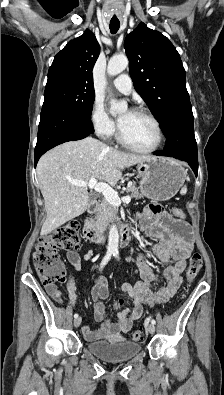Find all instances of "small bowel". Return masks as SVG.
I'll return each mask as SVG.
<instances>
[{
    "instance_id": "obj_1",
    "label": "small bowel",
    "mask_w": 224,
    "mask_h": 395,
    "mask_svg": "<svg viewBox=\"0 0 224 395\" xmlns=\"http://www.w3.org/2000/svg\"><path fill=\"white\" fill-rule=\"evenodd\" d=\"M138 219L145 234L157 240V243L151 247V252L165 266L162 276L154 273L144 256L140 255L137 259V266L142 281L135 286L128 283L121 286L131 298L132 306L118 313L115 322L107 320L102 303V300L108 297L107 280L103 276L96 278L91 296L94 301L95 319L101 324L95 331H92L87 324L82 326L81 330L87 341L128 332L134 322L142 316L144 305L167 302L174 296L181 284V275L193 250L194 235L190 225L183 220L171 217L158 205L148 206ZM67 260L77 270L81 269V259L76 251L69 250ZM152 282L161 283L157 292L151 289L150 283ZM44 287L54 300L62 302L64 294L54 284H44ZM66 288L75 306L77 295L72 279L67 281Z\"/></svg>"
}]
</instances>
